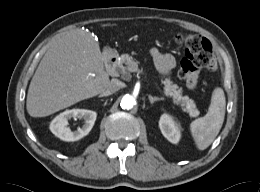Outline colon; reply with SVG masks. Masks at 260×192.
<instances>
[{"instance_id":"obj_1","label":"colon","mask_w":260,"mask_h":192,"mask_svg":"<svg viewBox=\"0 0 260 192\" xmlns=\"http://www.w3.org/2000/svg\"><path fill=\"white\" fill-rule=\"evenodd\" d=\"M176 40L185 47L184 56L180 60L179 76L186 81L188 87L194 88L200 70L213 66L211 43L198 35H179Z\"/></svg>"}]
</instances>
